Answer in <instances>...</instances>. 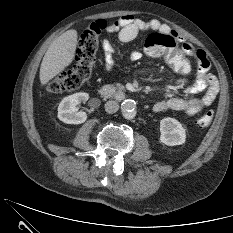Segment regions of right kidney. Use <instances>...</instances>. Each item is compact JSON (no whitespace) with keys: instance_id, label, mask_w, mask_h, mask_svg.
<instances>
[{"instance_id":"obj_1","label":"right kidney","mask_w":233,"mask_h":233,"mask_svg":"<svg viewBox=\"0 0 233 233\" xmlns=\"http://www.w3.org/2000/svg\"><path fill=\"white\" fill-rule=\"evenodd\" d=\"M89 95L85 92L75 93L63 98L58 106V118L66 124H82L87 119L85 112H78L76 107L80 103H85Z\"/></svg>"}]
</instances>
